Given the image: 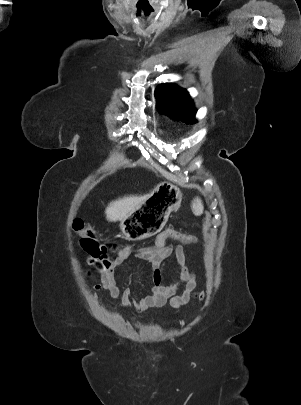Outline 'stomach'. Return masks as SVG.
Returning a JSON list of instances; mask_svg holds the SVG:
<instances>
[{"instance_id":"obj_1","label":"stomach","mask_w":301,"mask_h":405,"mask_svg":"<svg viewBox=\"0 0 301 405\" xmlns=\"http://www.w3.org/2000/svg\"><path fill=\"white\" fill-rule=\"evenodd\" d=\"M182 201L181 190L161 183L148 198L121 221L120 228L128 240H142L153 236L165 225L170 213L177 210Z\"/></svg>"}]
</instances>
